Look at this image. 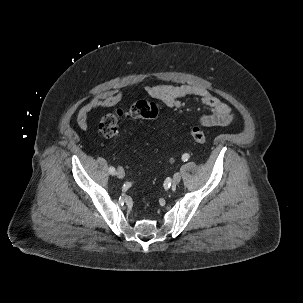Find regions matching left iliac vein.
Returning a JSON list of instances; mask_svg holds the SVG:
<instances>
[{
  "label": "left iliac vein",
  "instance_id": "1",
  "mask_svg": "<svg viewBox=\"0 0 303 303\" xmlns=\"http://www.w3.org/2000/svg\"><path fill=\"white\" fill-rule=\"evenodd\" d=\"M180 181H181V173H180V172H176V173L173 175L172 184H173V185H177V184H179Z\"/></svg>",
  "mask_w": 303,
  "mask_h": 303
}]
</instances>
